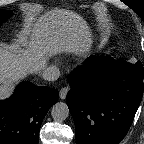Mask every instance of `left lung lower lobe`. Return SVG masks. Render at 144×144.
Listing matches in <instances>:
<instances>
[{
	"label": "left lung lower lobe",
	"instance_id": "0a47b994",
	"mask_svg": "<svg viewBox=\"0 0 144 144\" xmlns=\"http://www.w3.org/2000/svg\"><path fill=\"white\" fill-rule=\"evenodd\" d=\"M139 63L91 56L69 75L67 105L76 144H118L126 136L143 95Z\"/></svg>",
	"mask_w": 144,
	"mask_h": 144
}]
</instances>
